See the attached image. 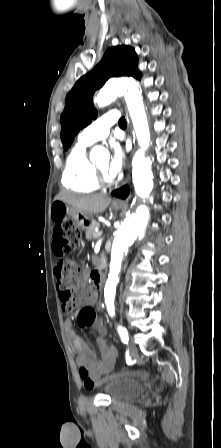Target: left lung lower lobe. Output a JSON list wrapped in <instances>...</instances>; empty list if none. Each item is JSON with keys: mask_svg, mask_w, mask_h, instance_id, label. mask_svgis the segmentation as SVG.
I'll return each mask as SVG.
<instances>
[{"mask_svg": "<svg viewBox=\"0 0 221 448\" xmlns=\"http://www.w3.org/2000/svg\"><path fill=\"white\" fill-rule=\"evenodd\" d=\"M128 194H129V189L126 186L112 192V195L119 197V198H126L128 196Z\"/></svg>", "mask_w": 221, "mask_h": 448, "instance_id": "1", "label": "left lung lower lobe"}]
</instances>
